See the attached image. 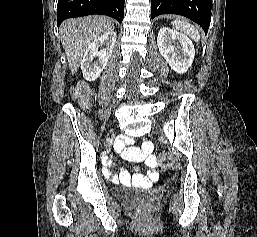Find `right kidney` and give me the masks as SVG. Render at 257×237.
Masks as SVG:
<instances>
[{"instance_id":"1","label":"right kidney","mask_w":257,"mask_h":237,"mask_svg":"<svg viewBox=\"0 0 257 237\" xmlns=\"http://www.w3.org/2000/svg\"><path fill=\"white\" fill-rule=\"evenodd\" d=\"M115 42L116 33L109 31L96 38L87 47L81 61V70L87 81H95L100 76L111 57ZM103 45L106 47L98 51L99 47ZM95 58L96 60H94Z\"/></svg>"}]
</instances>
